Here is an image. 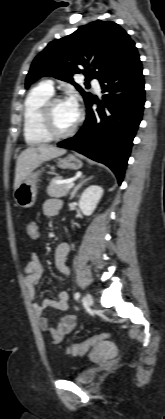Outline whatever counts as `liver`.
I'll use <instances>...</instances> for the list:
<instances>
[{
  "label": "liver",
  "instance_id": "liver-1",
  "mask_svg": "<svg viewBox=\"0 0 165 419\" xmlns=\"http://www.w3.org/2000/svg\"><path fill=\"white\" fill-rule=\"evenodd\" d=\"M66 153L63 148L48 144H40L26 148L16 162L14 189L43 162L61 156Z\"/></svg>",
  "mask_w": 165,
  "mask_h": 419
}]
</instances>
